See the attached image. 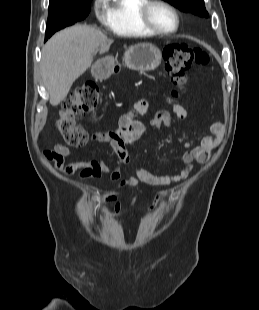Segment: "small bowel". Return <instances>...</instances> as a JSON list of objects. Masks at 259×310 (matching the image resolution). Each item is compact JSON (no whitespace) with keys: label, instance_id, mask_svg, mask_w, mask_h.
Listing matches in <instances>:
<instances>
[{"label":"small bowel","instance_id":"obj_1","mask_svg":"<svg viewBox=\"0 0 259 310\" xmlns=\"http://www.w3.org/2000/svg\"><path fill=\"white\" fill-rule=\"evenodd\" d=\"M147 106L148 100L146 98L139 100L132 109L120 116L116 127L95 132L90 136L91 142L108 144L117 154V161L110 176L112 181L117 183L118 189L134 187L139 182L151 187L166 186L181 182L187 179L192 172L194 162L206 163L210 159L212 152L222 142L224 127L221 123L215 122L210 126L212 135L203 137L197 146L190 148L189 142L184 143V147L187 150L182 156L183 168L179 173L174 175H157L139 165L136 167L134 174H131L129 172V166L134 156L128 152L126 146L137 140L144 133L145 127L137 117L145 113ZM172 110L179 119H185L187 117L186 109L180 104L173 103ZM150 124L155 129L170 127V113L164 110L158 111L152 118ZM43 157L53 162L56 170L67 177L78 174L81 182H85L91 178H101L110 172L108 164L104 159L74 160L69 165H65V160L75 159V155L64 144H57L53 149L44 150ZM97 198L102 202L113 204L116 214L120 212L121 205L115 194H102L98 195Z\"/></svg>","mask_w":259,"mask_h":310}]
</instances>
